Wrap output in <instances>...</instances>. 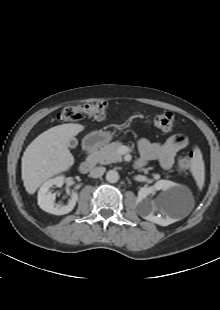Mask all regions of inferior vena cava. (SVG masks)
I'll return each mask as SVG.
<instances>
[{
	"instance_id": "inferior-vena-cava-1",
	"label": "inferior vena cava",
	"mask_w": 220,
	"mask_h": 310,
	"mask_svg": "<svg viewBox=\"0 0 220 310\" xmlns=\"http://www.w3.org/2000/svg\"><path fill=\"white\" fill-rule=\"evenodd\" d=\"M105 171H106L105 167H95L91 170L90 176L92 178H99L104 174Z\"/></svg>"
}]
</instances>
